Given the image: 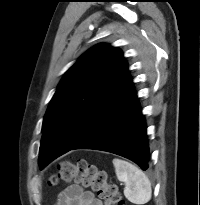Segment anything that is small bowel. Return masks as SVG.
I'll use <instances>...</instances> for the list:
<instances>
[{"instance_id":"c3829d8e","label":"small bowel","mask_w":200,"mask_h":205,"mask_svg":"<svg viewBox=\"0 0 200 205\" xmlns=\"http://www.w3.org/2000/svg\"><path fill=\"white\" fill-rule=\"evenodd\" d=\"M55 205H103L90 191L79 185H71L58 194Z\"/></svg>"}]
</instances>
